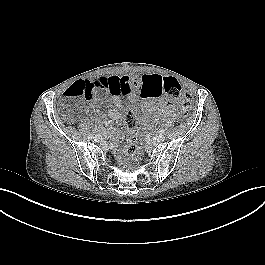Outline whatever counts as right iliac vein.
Returning <instances> with one entry per match:
<instances>
[{
    "instance_id": "obj_1",
    "label": "right iliac vein",
    "mask_w": 265,
    "mask_h": 265,
    "mask_svg": "<svg viewBox=\"0 0 265 265\" xmlns=\"http://www.w3.org/2000/svg\"><path fill=\"white\" fill-rule=\"evenodd\" d=\"M102 140V136L101 135H96L95 136V141L100 142Z\"/></svg>"
}]
</instances>
